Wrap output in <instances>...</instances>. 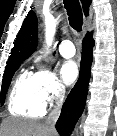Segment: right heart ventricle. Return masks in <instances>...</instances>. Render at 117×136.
<instances>
[{
	"instance_id": "e07e8e85",
	"label": "right heart ventricle",
	"mask_w": 117,
	"mask_h": 136,
	"mask_svg": "<svg viewBox=\"0 0 117 136\" xmlns=\"http://www.w3.org/2000/svg\"><path fill=\"white\" fill-rule=\"evenodd\" d=\"M8 107L11 113L19 116L39 118L44 115L45 106L36 93L33 73L23 71L16 77Z\"/></svg>"
}]
</instances>
